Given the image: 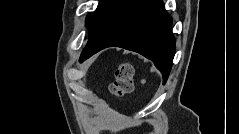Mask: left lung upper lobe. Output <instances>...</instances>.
Listing matches in <instances>:
<instances>
[{
    "instance_id": "5c2ea615",
    "label": "left lung upper lobe",
    "mask_w": 239,
    "mask_h": 134,
    "mask_svg": "<svg viewBox=\"0 0 239 134\" xmlns=\"http://www.w3.org/2000/svg\"><path fill=\"white\" fill-rule=\"evenodd\" d=\"M124 0H100L97 10L89 13L86 18V25L89 28L88 40L95 36L107 24L118 7ZM84 59L80 58V62Z\"/></svg>"
}]
</instances>
